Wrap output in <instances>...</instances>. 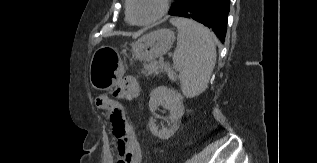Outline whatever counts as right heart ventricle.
<instances>
[{"mask_svg":"<svg viewBox=\"0 0 317 163\" xmlns=\"http://www.w3.org/2000/svg\"><path fill=\"white\" fill-rule=\"evenodd\" d=\"M126 20H127V22H130V21H129V19H128V16H127V14H126Z\"/></svg>","mask_w":317,"mask_h":163,"instance_id":"right-heart-ventricle-1","label":"right heart ventricle"}]
</instances>
